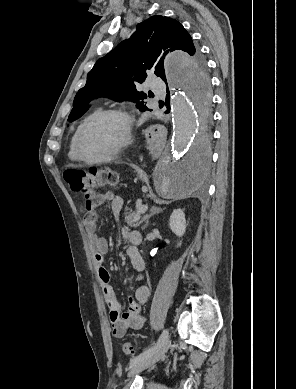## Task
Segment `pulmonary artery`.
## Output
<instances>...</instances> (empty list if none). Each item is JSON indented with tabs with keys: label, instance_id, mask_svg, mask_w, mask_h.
<instances>
[{
	"label": "pulmonary artery",
	"instance_id": "1",
	"mask_svg": "<svg viewBox=\"0 0 296 389\" xmlns=\"http://www.w3.org/2000/svg\"><path fill=\"white\" fill-rule=\"evenodd\" d=\"M149 87L151 90L156 91V92H163L164 90V85L162 82L153 80L149 83Z\"/></svg>",
	"mask_w": 296,
	"mask_h": 389
}]
</instances>
